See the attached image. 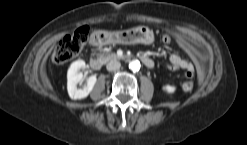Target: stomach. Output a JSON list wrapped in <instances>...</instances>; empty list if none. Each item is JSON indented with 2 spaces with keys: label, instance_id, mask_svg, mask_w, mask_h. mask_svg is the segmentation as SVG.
<instances>
[{
  "label": "stomach",
  "instance_id": "1",
  "mask_svg": "<svg viewBox=\"0 0 247 145\" xmlns=\"http://www.w3.org/2000/svg\"><path fill=\"white\" fill-rule=\"evenodd\" d=\"M105 36V44H151L154 41L153 31L146 26L134 27L117 32H102Z\"/></svg>",
  "mask_w": 247,
  "mask_h": 145
}]
</instances>
